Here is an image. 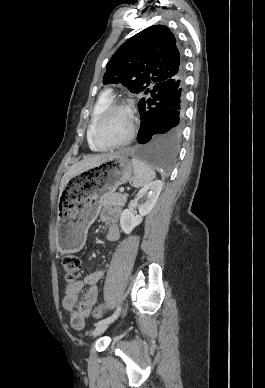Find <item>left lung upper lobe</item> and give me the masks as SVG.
Masks as SVG:
<instances>
[{
    "label": "left lung upper lobe",
    "instance_id": "left-lung-upper-lobe-1",
    "mask_svg": "<svg viewBox=\"0 0 265 388\" xmlns=\"http://www.w3.org/2000/svg\"><path fill=\"white\" fill-rule=\"evenodd\" d=\"M184 73L176 39L164 25L150 26L123 43L106 65L104 84L122 83L148 98L160 83Z\"/></svg>",
    "mask_w": 265,
    "mask_h": 388
}]
</instances>
